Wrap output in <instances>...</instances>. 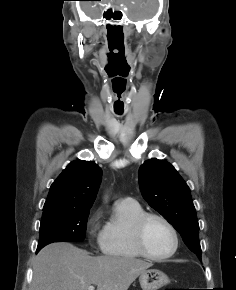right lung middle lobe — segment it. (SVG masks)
Instances as JSON below:
<instances>
[{"mask_svg": "<svg viewBox=\"0 0 236 290\" xmlns=\"http://www.w3.org/2000/svg\"><path fill=\"white\" fill-rule=\"evenodd\" d=\"M89 210L44 211L40 225L37 251L52 242L83 241Z\"/></svg>", "mask_w": 236, "mask_h": 290, "instance_id": "dd1d6c3e", "label": "right lung middle lobe"}]
</instances>
